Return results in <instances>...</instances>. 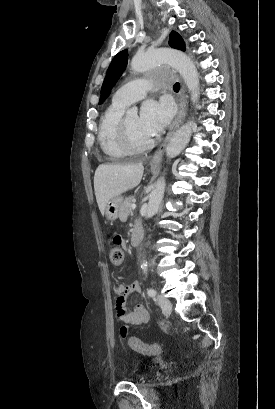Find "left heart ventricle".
<instances>
[{"label": "left heart ventricle", "instance_id": "obj_1", "mask_svg": "<svg viewBox=\"0 0 275 409\" xmlns=\"http://www.w3.org/2000/svg\"><path fill=\"white\" fill-rule=\"evenodd\" d=\"M126 119L131 137L135 144L142 146L153 139L143 131L140 125L139 117L137 115L129 116Z\"/></svg>", "mask_w": 275, "mask_h": 409}]
</instances>
